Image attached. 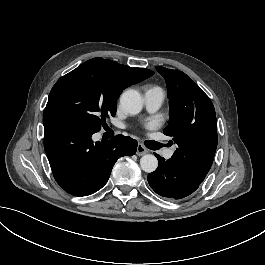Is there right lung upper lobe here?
Wrapping results in <instances>:
<instances>
[{
  "label": "right lung upper lobe",
  "instance_id": "cb5924a9",
  "mask_svg": "<svg viewBox=\"0 0 265 265\" xmlns=\"http://www.w3.org/2000/svg\"><path fill=\"white\" fill-rule=\"evenodd\" d=\"M106 67L107 72L121 85L124 89L133 84L139 83L154 74L153 71L143 68H131L123 64L103 58H97Z\"/></svg>",
  "mask_w": 265,
  "mask_h": 265
}]
</instances>
